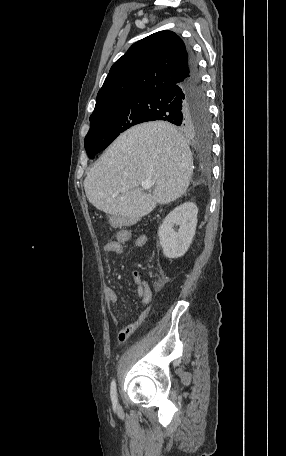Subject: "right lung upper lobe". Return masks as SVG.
I'll return each instance as SVG.
<instances>
[{
	"label": "right lung upper lobe",
	"instance_id": "right-lung-upper-lobe-1",
	"mask_svg": "<svg viewBox=\"0 0 286 456\" xmlns=\"http://www.w3.org/2000/svg\"><path fill=\"white\" fill-rule=\"evenodd\" d=\"M189 51L172 31H159L133 44L111 67L94 112L114 101L141 96L188 75Z\"/></svg>",
	"mask_w": 286,
	"mask_h": 456
}]
</instances>
